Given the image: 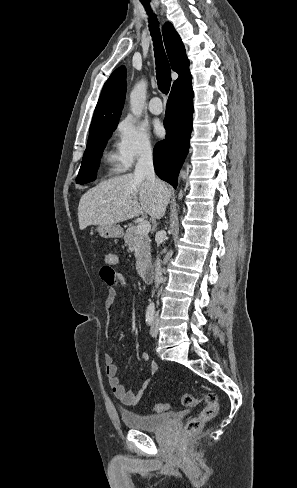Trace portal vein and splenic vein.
<instances>
[{"label":"portal vein and splenic vein","instance_id":"18ae733b","mask_svg":"<svg viewBox=\"0 0 297 488\" xmlns=\"http://www.w3.org/2000/svg\"><path fill=\"white\" fill-rule=\"evenodd\" d=\"M150 229L151 225L148 221H141L136 227V232L138 234H147Z\"/></svg>","mask_w":297,"mask_h":488}]
</instances>
